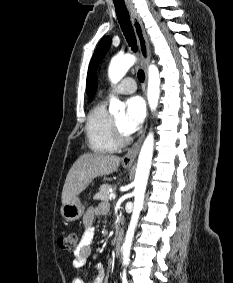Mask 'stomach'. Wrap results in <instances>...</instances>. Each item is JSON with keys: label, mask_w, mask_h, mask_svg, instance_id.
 Here are the masks:
<instances>
[{"label": "stomach", "mask_w": 233, "mask_h": 283, "mask_svg": "<svg viewBox=\"0 0 233 283\" xmlns=\"http://www.w3.org/2000/svg\"><path fill=\"white\" fill-rule=\"evenodd\" d=\"M124 168H129L130 165L123 164ZM61 215L68 222H74L78 220L84 213V205L78 197H75L72 201L63 204L61 206Z\"/></svg>", "instance_id": "stomach-1"}]
</instances>
